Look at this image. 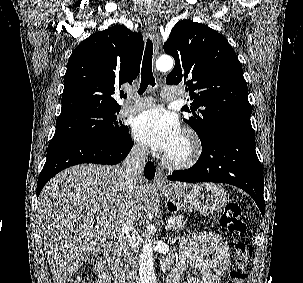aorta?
<instances>
[{
	"label": "aorta",
	"instance_id": "aorta-1",
	"mask_svg": "<svg viewBox=\"0 0 303 283\" xmlns=\"http://www.w3.org/2000/svg\"><path fill=\"white\" fill-rule=\"evenodd\" d=\"M174 61L170 56H161L156 61V68L161 72L169 71L173 68ZM154 226L147 227L146 241L143 245L142 253L139 259V274L140 283H157V278L154 272V258L152 246V232Z\"/></svg>",
	"mask_w": 303,
	"mask_h": 283
}]
</instances>
